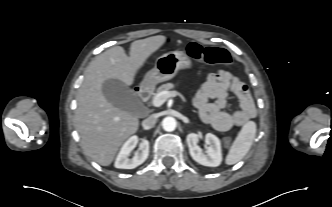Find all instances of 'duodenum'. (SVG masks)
I'll return each mask as SVG.
<instances>
[{"instance_id":"obj_1","label":"duodenum","mask_w":332,"mask_h":207,"mask_svg":"<svg viewBox=\"0 0 332 207\" xmlns=\"http://www.w3.org/2000/svg\"><path fill=\"white\" fill-rule=\"evenodd\" d=\"M136 92L142 102H146L150 97V89L147 86L139 87Z\"/></svg>"}]
</instances>
